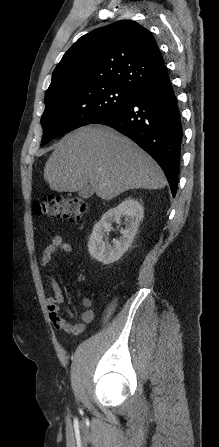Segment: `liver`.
<instances>
[{
	"label": "liver",
	"instance_id": "liver-1",
	"mask_svg": "<svg viewBox=\"0 0 219 447\" xmlns=\"http://www.w3.org/2000/svg\"><path fill=\"white\" fill-rule=\"evenodd\" d=\"M44 179L56 192L89 186L111 200L130 189H162L160 166L129 138L103 125H89L65 135L44 168Z\"/></svg>",
	"mask_w": 219,
	"mask_h": 447
}]
</instances>
